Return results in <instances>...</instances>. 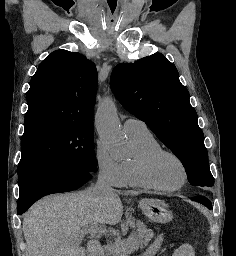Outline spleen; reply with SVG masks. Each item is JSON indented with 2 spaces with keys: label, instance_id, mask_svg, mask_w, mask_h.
<instances>
[{
  "label": "spleen",
  "instance_id": "obj_1",
  "mask_svg": "<svg viewBox=\"0 0 236 256\" xmlns=\"http://www.w3.org/2000/svg\"><path fill=\"white\" fill-rule=\"evenodd\" d=\"M173 256H195L194 248L190 244H183V246L176 250Z\"/></svg>",
  "mask_w": 236,
  "mask_h": 256
}]
</instances>
